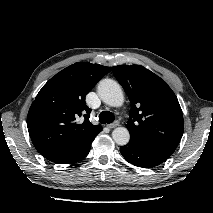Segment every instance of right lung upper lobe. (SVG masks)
I'll return each mask as SVG.
<instances>
[{
  "instance_id": "obj_1",
  "label": "right lung upper lobe",
  "mask_w": 213,
  "mask_h": 213,
  "mask_svg": "<svg viewBox=\"0 0 213 213\" xmlns=\"http://www.w3.org/2000/svg\"><path fill=\"white\" fill-rule=\"evenodd\" d=\"M109 71L106 66L78 62L42 87L27 116L29 135L39 153L75 148L102 130L90 123L85 97ZM81 116L84 121L79 123Z\"/></svg>"
}]
</instances>
